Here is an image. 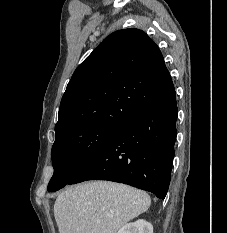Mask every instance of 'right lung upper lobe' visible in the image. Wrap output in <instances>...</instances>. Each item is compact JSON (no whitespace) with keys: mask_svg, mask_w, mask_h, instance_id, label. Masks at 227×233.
<instances>
[{"mask_svg":"<svg viewBox=\"0 0 227 233\" xmlns=\"http://www.w3.org/2000/svg\"><path fill=\"white\" fill-rule=\"evenodd\" d=\"M174 92L156 43L139 29L106 37L80 64L62 97L56 135L76 127H121Z\"/></svg>","mask_w":227,"mask_h":233,"instance_id":"cb5924a9","label":"right lung upper lobe"}]
</instances>
